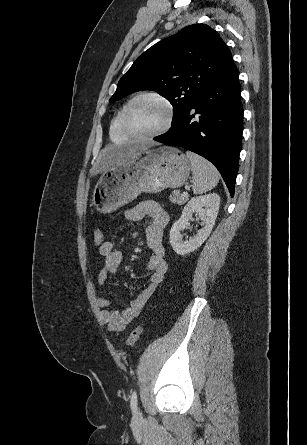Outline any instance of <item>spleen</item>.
Listing matches in <instances>:
<instances>
[{"label": "spleen", "mask_w": 307, "mask_h": 445, "mask_svg": "<svg viewBox=\"0 0 307 445\" xmlns=\"http://www.w3.org/2000/svg\"><path fill=\"white\" fill-rule=\"evenodd\" d=\"M186 154L192 166L194 194H202V192H207V190L214 188L220 178L217 168L209 160L199 156V154H195V152L187 150Z\"/></svg>", "instance_id": "spleen-1"}]
</instances>
